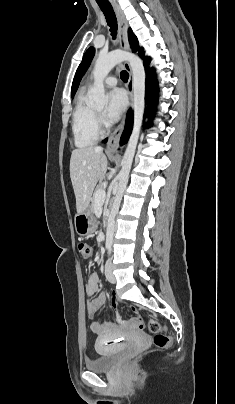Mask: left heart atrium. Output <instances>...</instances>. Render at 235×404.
<instances>
[{
	"label": "left heart atrium",
	"mask_w": 235,
	"mask_h": 404,
	"mask_svg": "<svg viewBox=\"0 0 235 404\" xmlns=\"http://www.w3.org/2000/svg\"><path fill=\"white\" fill-rule=\"evenodd\" d=\"M127 106V98L123 90L114 89L108 94V105L105 116L109 121H117Z\"/></svg>",
	"instance_id": "left-heart-atrium-1"
}]
</instances>
